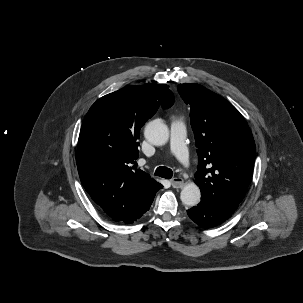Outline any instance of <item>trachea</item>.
<instances>
[{
  "label": "trachea",
  "mask_w": 303,
  "mask_h": 303,
  "mask_svg": "<svg viewBox=\"0 0 303 303\" xmlns=\"http://www.w3.org/2000/svg\"><path fill=\"white\" fill-rule=\"evenodd\" d=\"M155 175L165 179H171L173 176V171L170 168L160 166L156 169Z\"/></svg>",
  "instance_id": "obj_1"
}]
</instances>
